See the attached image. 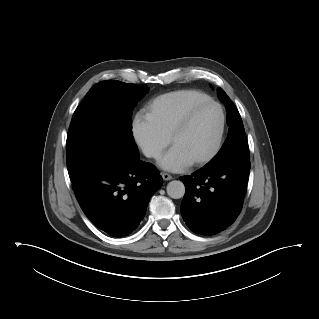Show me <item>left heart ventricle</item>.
Segmentation results:
<instances>
[{
	"instance_id": "left-heart-ventricle-1",
	"label": "left heart ventricle",
	"mask_w": 319,
	"mask_h": 319,
	"mask_svg": "<svg viewBox=\"0 0 319 319\" xmlns=\"http://www.w3.org/2000/svg\"><path fill=\"white\" fill-rule=\"evenodd\" d=\"M219 127L218 108L206 106L197 113L187 131L175 139L172 147L192 162L204 158L215 148Z\"/></svg>"
}]
</instances>
